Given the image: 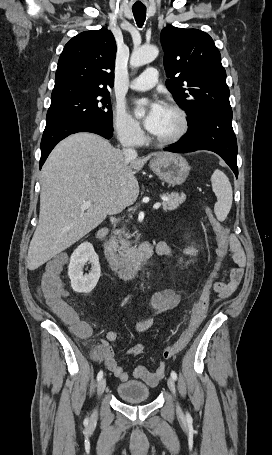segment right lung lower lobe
<instances>
[{"label": "right lung lower lobe", "instance_id": "98d812e1", "mask_svg": "<svg viewBox=\"0 0 272 455\" xmlns=\"http://www.w3.org/2000/svg\"><path fill=\"white\" fill-rule=\"evenodd\" d=\"M78 132H92L106 139H110L113 136V129H109L103 124L92 120L65 121L47 125L41 140L40 169L57 143L68 135Z\"/></svg>", "mask_w": 272, "mask_h": 455}]
</instances>
